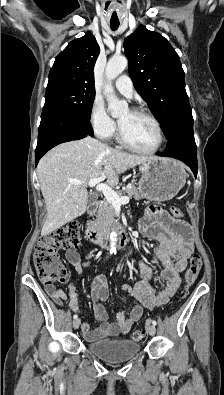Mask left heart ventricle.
<instances>
[{"instance_id": "left-heart-ventricle-1", "label": "left heart ventricle", "mask_w": 224, "mask_h": 395, "mask_svg": "<svg viewBox=\"0 0 224 395\" xmlns=\"http://www.w3.org/2000/svg\"><path fill=\"white\" fill-rule=\"evenodd\" d=\"M118 123L126 139L136 147L151 149L157 144V129L146 116L125 110L118 116Z\"/></svg>"}]
</instances>
